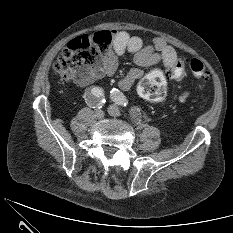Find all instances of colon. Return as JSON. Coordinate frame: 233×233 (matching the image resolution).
<instances>
[{"instance_id":"obj_1","label":"colon","mask_w":233,"mask_h":233,"mask_svg":"<svg viewBox=\"0 0 233 233\" xmlns=\"http://www.w3.org/2000/svg\"><path fill=\"white\" fill-rule=\"evenodd\" d=\"M111 44V34L101 32L94 36L76 37L59 53L53 64L55 72L64 81L85 83L100 71V63L104 59ZM187 64L194 75L204 84L211 82V73L199 59L188 63L178 58L174 66L167 72L175 80H181L186 73ZM141 97L151 102H161L166 94V75L159 69H153L144 76L139 84Z\"/></svg>"}]
</instances>
